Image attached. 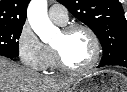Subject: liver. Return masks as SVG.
Wrapping results in <instances>:
<instances>
[{"instance_id": "liver-1", "label": "liver", "mask_w": 127, "mask_h": 92, "mask_svg": "<svg viewBox=\"0 0 127 92\" xmlns=\"http://www.w3.org/2000/svg\"><path fill=\"white\" fill-rule=\"evenodd\" d=\"M79 78L42 75L0 56V92H67Z\"/></svg>"}]
</instances>
